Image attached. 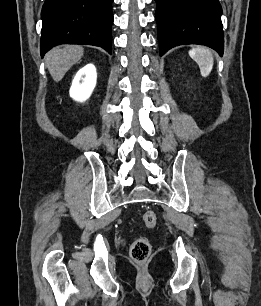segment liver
<instances>
[{"mask_svg":"<svg viewBox=\"0 0 261 306\" xmlns=\"http://www.w3.org/2000/svg\"><path fill=\"white\" fill-rule=\"evenodd\" d=\"M84 49L78 45L55 47L45 56V63L54 81L59 82L66 72L83 56Z\"/></svg>","mask_w":261,"mask_h":306,"instance_id":"6515ba94","label":"liver"}]
</instances>
